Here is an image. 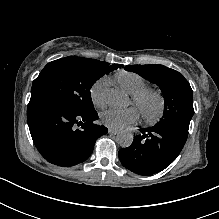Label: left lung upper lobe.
<instances>
[{
    "label": "left lung upper lobe",
    "mask_w": 219,
    "mask_h": 219,
    "mask_svg": "<svg viewBox=\"0 0 219 219\" xmlns=\"http://www.w3.org/2000/svg\"><path fill=\"white\" fill-rule=\"evenodd\" d=\"M125 69L139 74L160 87L165 107L157 125L177 126L188 131L194 114L193 92L182 74L159 64L128 65Z\"/></svg>",
    "instance_id": "obj_1"
}]
</instances>
